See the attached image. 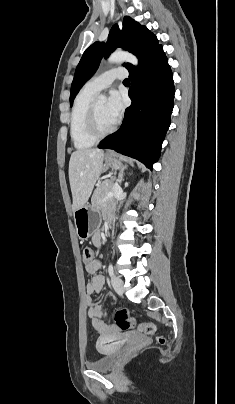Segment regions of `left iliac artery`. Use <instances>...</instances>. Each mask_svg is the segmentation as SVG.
Masks as SVG:
<instances>
[{"label": "left iliac artery", "mask_w": 235, "mask_h": 404, "mask_svg": "<svg viewBox=\"0 0 235 404\" xmlns=\"http://www.w3.org/2000/svg\"><path fill=\"white\" fill-rule=\"evenodd\" d=\"M108 273L109 275L112 277L114 275V270H113V266L110 264L108 267Z\"/></svg>", "instance_id": "left-iliac-artery-1"}]
</instances>
